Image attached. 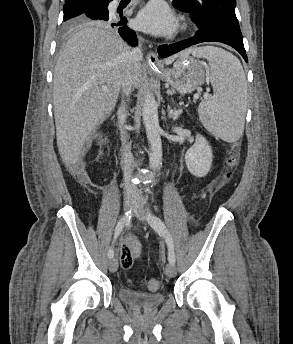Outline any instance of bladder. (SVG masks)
Wrapping results in <instances>:
<instances>
[{"mask_svg": "<svg viewBox=\"0 0 293 344\" xmlns=\"http://www.w3.org/2000/svg\"><path fill=\"white\" fill-rule=\"evenodd\" d=\"M121 301L140 310H154L165 301V295L160 292L146 293L122 287L119 290Z\"/></svg>", "mask_w": 293, "mask_h": 344, "instance_id": "1", "label": "bladder"}]
</instances>
